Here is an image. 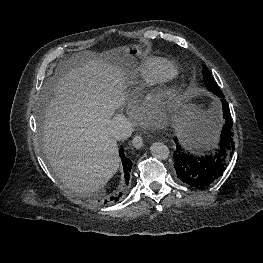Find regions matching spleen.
I'll return each mask as SVG.
<instances>
[{"mask_svg": "<svg viewBox=\"0 0 263 263\" xmlns=\"http://www.w3.org/2000/svg\"><path fill=\"white\" fill-rule=\"evenodd\" d=\"M178 127L184 143L191 147L209 145L217 137V126L215 125L213 127L208 125L200 127L189 123L183 127Z\"/></svg>", "mask_w": 263, "mask_h": 263, "instance_id": "3e777b00", "label": "spleen"}]
</instances>
